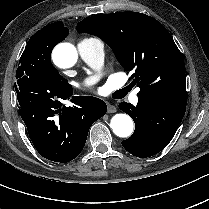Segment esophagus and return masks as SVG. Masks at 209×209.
I'll list each match as a JSON object with an SVG mask.
<instances>
[{"instance_id":"1","label":"esophagus","mask_w":209,"mask_h":209,"mask_svg":"<svg viewBox=\"0 0 209 209\" xmlns=\"http://www.w3.org/2000/svg\"><path fill=\"white\" fill-rule=\"evenodd\" d=\"M107 105H108V107H107V112L108 113H114V112H116V107L113 104L108 103Z\"/></svg>"}]
</instances>
